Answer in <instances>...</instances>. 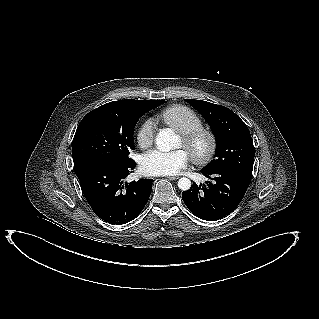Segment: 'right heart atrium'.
Listing matches in <instances>:
<instances>
[{"instance_id":"d8ad5b80","label":"right heart atrium","mask_w":319,"mask_h":319,"mask_svg":"<svg viewBox=\"0 0 319 319\" xmlns=\"http://www.w3.org/2000/svg\"><path fill=\"white\" fill-rule=\"evenodd\" d=\"M154 138V123L148 119L143 121L137 129L136 140L141 148L151 146Z\"/></svg>"}]
</instances>
